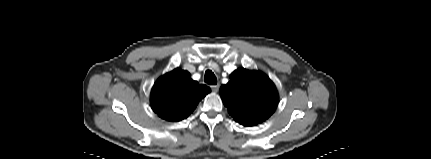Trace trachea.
Wrapping results in <instances>:
<instances>
[{
    "label": "trachea",
    "mask_w": 431,
    "mask_h": 159,
    "mask_svg": "<svg viewBox=\"0 0 431 159\" xmlns=\"http://www.w3.org/2000/svg\"><path fill=\"white\" fill-rule=\"evenodd\" d=\"M204 80L209 85L217 84V78L211 70H206Z\"/></svg>",
    "instance_id": "obj_1"
}]
</instances>
